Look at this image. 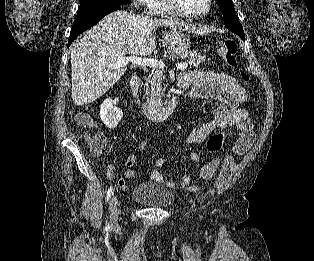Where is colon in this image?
Wrapping results in <instances>:
<instances>
[{
	"label": "colon",
	"mask_w": 314,
	"mask_h": 261,
	"mask_svg": "<svg viewBox=\"0 0 314 261\" xmlns=\"http://www.w3.org/2000/svg\"><path fill=\"white\" fill-rule=\"evenodd\" d=\"M237 50L238 46L236 41L228 39L219 48L218 54L221 59L231 68H236L238 66L237 61ZM240 77L243 81L247 82L249 80L248 75L245 72H240ZM247 95L244 97L243 102H247ZM77 122L80 126L86 129L85 139L91 146L93 152L98 153L101 151L105 144V137L103 134L95 131L93 129V122L90 117L85 113H79L77 115ZM225 140V134L223 132H217L211 135L206 143V147L209 153H216L221 150Z\"/></svg>",
	"instance_id": "obj_1"
}]
</instances>
